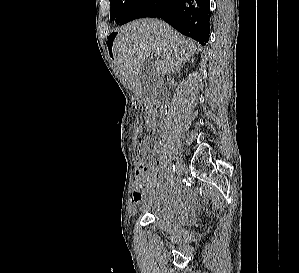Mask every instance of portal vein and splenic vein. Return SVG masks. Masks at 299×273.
Wrapping results in <instances>:
<instances>
[{"label": "portal vein and splenic vein", "mask_w": 299, "mask_h": 273, "mask_svg": "<svg viewBox=\"0 0 299 273\" xmlns=\"http://www.w3.org/2000/svg\"><path fill=\"white\" fill-rule=\"evenodd\" d=\"M152 56L156 57V56H157V53H152Z\"/></svg>", "instance_id": "1"}]
</instances>
